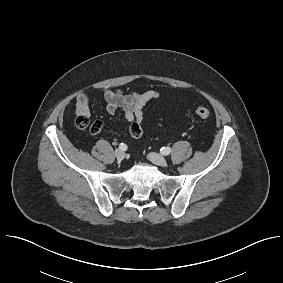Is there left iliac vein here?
<instances>
[{
	"mask_svg": "<svg viewBox=\"0 0 283 283\" xmlns=\"http://www.w3.org/2000/svg\"><path fill=\"white\" fill-rule=\"evenodd\" d=\"M149 159L151 162L158 166H166L167 164V160L165 159V157L157 153H150Z\"/></svg>",
	"mask_w": 283,
	"mask_h": 283,
	"instance_id": "left-iliac-vein-1",
	"label": "left iliac vein"
}]
</instances>
